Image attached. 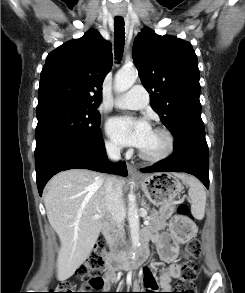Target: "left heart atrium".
Segmentation results:
<instances>
[{
  "instance_id": "left-heart-atrium-1",
  "label": "left heart atrium",
  "mask_w": 245,
  "mask_h": 293,
  "mask_svg": "<svg viewBox=\"0 0 245 293\" xmlns=\"http://www.w3.org/2000/svg\"><path fill=\"white\" fill-rule=\"evenodd\" d=\"M107 132L118 143L141 149L147 143L152 129L145 120L114 117L107 123Z\"/></svg>"
}]
</instances>
